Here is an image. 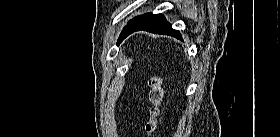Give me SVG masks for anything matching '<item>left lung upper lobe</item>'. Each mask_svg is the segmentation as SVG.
<instances>
[{
    "label": "left lung upper lobe",
    "mask_w": 280,
    "mask_h": 137,
    "mask_svg": "<svg viewBox=\"0 0 280 137\" xmlns=\"http://www.w3.org/2000/svg\"><path fill=\"white\" fill-rule=\"evenodd\" d=\"M147 14L144 15H140L135 17L133 20L129 21V23L125 26V28L123 29V31L121 32L119 39H118V44L120 43V41L122 40L124 34L126 33V31L135 23H137L138 21H140L143 17H145Z\"/></svg>",
    "instance_id": "1"
}]
</instances>
